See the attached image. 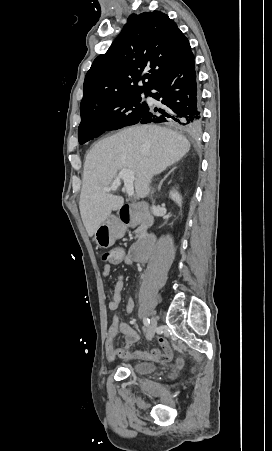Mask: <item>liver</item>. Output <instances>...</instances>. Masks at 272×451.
I'll return each instance as SVG.
<instances>
[{
  "instance_id": "1",
  "label": "liver",
  "mask_w": 272,
  "mask_h": 451,
  "mask_svg": "<svg viewBox=\"0 0 272 451\" xmlns=\"http://www.w3.org/2000/svg\"><path fill=\"white\" fill-rule=\"evenodd\" d=\"M190 150L182 134L161 126H131L99 140L84 164L79 210L88 235H94L114 210L124 204L122 196L104 192L119 170H132L138 198H145L153 176L179 162Z\"/></svg>"
}]
</instances>
